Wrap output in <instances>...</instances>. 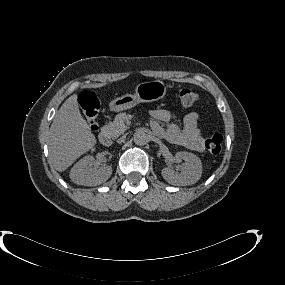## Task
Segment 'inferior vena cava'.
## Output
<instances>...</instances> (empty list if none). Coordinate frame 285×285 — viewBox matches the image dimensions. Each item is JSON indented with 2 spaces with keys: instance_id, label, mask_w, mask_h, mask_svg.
Masks as SVG:
<instances>
[{
  "instance_id": "obj_1",
  "label": "inferior vena cava",
  "mask_w": 285,
  "mask_h": 285,
  "mask_svg": "<svg viewBox=\"0 0 285 285\" xmlns=\"http://www.w3.org/2000/svg\"><path fill=\"white\" fill-rule=\"evenodd\" d=\"M127 140H128V137H127V135H125V134H122V135H120V136L118 137V142H119V143H125V142H127Z\"/></svg>"
}]
</instances>
